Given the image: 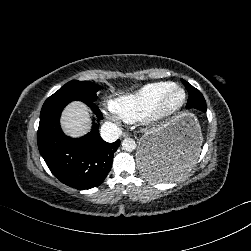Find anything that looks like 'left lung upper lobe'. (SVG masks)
<instances>
[{
    "mask_svg": "<svg viewBox=\"0 0 251 251\" xmlns=\"http://www.w3.org/2000/svg\"><path fill=\"white\" fill-rule=\"evenodd\" d=\"M182 83L185 85L186 89L188 90L190 96L188 98V102H199L203 105H206L205 99L203 97V95L201 94V92L199 90H197L196 88H194L192 85H190L188 82H186L185 80L181 79Z\"/></svg>",
    "mask_w": 251,
    "mask_h": 251,
    "instance_id": "obj_1",
    "label": "left lung upper lobe"
}]
</instances>
